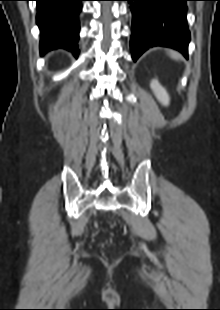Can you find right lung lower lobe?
Segmentation results:
<instances>
[{
    "mask_svg": "<svg viewBox=\"0 0 220 310\" xmlns=\"http://www.w3.org/2000/svg\"><path fill=\"white\" fill-rule=\"evenodd\" d=\"M37 24L40 29V51L44 54L56 48L79 54V14L84 0H36Z\"/></svg>",
    "mask_w": 220,
    "mask_h": 310,
    "instance_id": "98d812e1",
    "label": "right lung lower lobe"
}]
</instances>
